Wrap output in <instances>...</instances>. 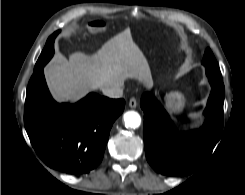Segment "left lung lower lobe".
Segmentation results:
<instances>
[{
  "mask_svg": "<svg viewBox=\"0 0 245 195\" xmlns=\"http://www.w3.org/2000/svg\"><path fill=\"white\" fill-rule=\"evenodd\" d=\"M211 93L204 111L206 121L199 129L180 133L167 112L150 93L143 94L144 145L152 168L163 175L179 176L194 172L211 154L223 129L225 89L222 80L208 77Z\"/></svg>",
  "mask_w": 245,
  "mask_h": 195,
  "instance_id": "0a47b994",
  "label": "left lung lower lobe"
}]
</instances>
